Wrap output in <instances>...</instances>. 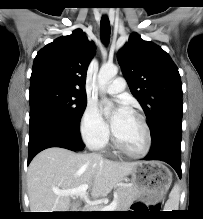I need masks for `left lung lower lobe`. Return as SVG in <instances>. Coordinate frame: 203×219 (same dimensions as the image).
I'll return each mask as SVG.
<instances>
[{"label":"left lung lower lobe","instance_id":"obj_1","mask_svg":"<svg viewBox=\"0 0 203 219\" xmlns=\"http://www.w3.org/2000/svg\"><path fill=\"white\" fill-rule=\"evenodd\" d=\"M181 135V122L168 124L152 139L150 152L144 160L164 161L171 165L181 178Z\"/></svg>","mask_w":203,"mask_h":219}]
</instances>
